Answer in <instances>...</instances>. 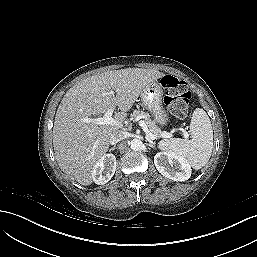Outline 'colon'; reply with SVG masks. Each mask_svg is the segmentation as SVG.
<instances>
[{"mask_svg": "<svg viewBox=\"0 0 257 257\" xmlns=\"http://www.w3.org/2000/svg\"><path fill=\"white\" fill-rule=\"evenodd\" d=\"M164 91V101L171 113L177 118H184L187 115L191 93L185 82L172 76L165 75L160 81Z\"/></svg>", "mask_w": 257, "mask_h": 257, "instance_id": "colon-1", "label": "colon"}]
</instances>
